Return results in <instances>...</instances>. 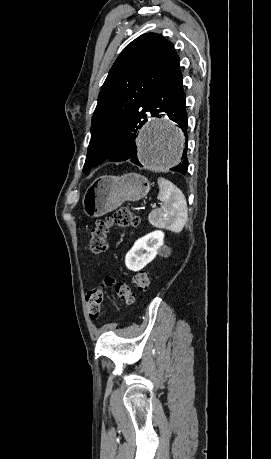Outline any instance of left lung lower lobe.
<instances>
[{
	"instance_id": "obj_1",
	"label": "left lung lower lobe",
	"mask_w": 271,
	"mask_h": 459,
	"mask_svg": "<svg viewBox=\"0 0 271 459\" xmlns=\"http://www.w3.org/2000/svg\"><path fill=\"white\" fill-rule=\"evenodd\" d=\"M149 108L139 119L133 120L122 129L116 137V146L112 154L105 161L120 162L130 160L142 166L137 159L135 138L138 129L147 122V113L153 117H161V112L176 122L187 136V113L185 106V93L183 91L182 73L180 70L172 73L154 87L149 95ZM187 145V139H186ZM184 149L182 162L170 170L186 174L188 160Z\"/></svg>"
}]
</instances>
